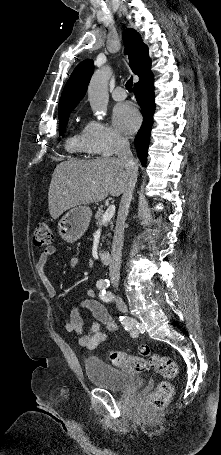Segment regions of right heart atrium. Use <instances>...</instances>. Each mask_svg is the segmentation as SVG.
Here are the masks:
<instances>
[{"mask_svg":"<svg viewBox=\"0 0 221 455\" xmlns=\"http://www.w3.org/2000/svg\"><path fill=\"white\" fill-rule=\"evenodd\" d=\"M82 132L89 154L112 155L124 142L118 131L99 120L88 121Z\"/></svg>","mask_w":221,"mask_h":455,"instance_id":"obj_1","label":"right heart atrium"}]
</instances>
